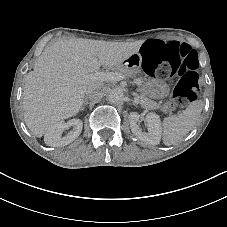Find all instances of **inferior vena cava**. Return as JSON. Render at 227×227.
<instances>
[{
	"mask_svg": "<svg viewBox=\"0 0 227 227\" xmlns=\"http://www.w3.org/2000/svg\"><path fill=\"white\" fill-rule=\"evenodd\" d=\"M100 88H101V87H100L97 83L90 84V85L87 87L86 94H91V93H93L95 90L100 89Z\"/></svg>",
	"mask_w": 227,
	"mask_h": 227,
	"instance_id": "602c4592",
	"label": "inferior vena cava"
}]
</instances>
